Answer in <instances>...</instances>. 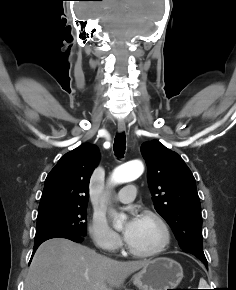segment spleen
Masks as SVG:
<instances>
[{
    "instance_id": "spleen-1",
    "label": "spleen",
    "mask_w": 236,
    "mask_h": 290,
    "mask_svg": "<svg viewBox=\"0 0 236 290\" xmlns=\"http://www.w3.org/2000/svg\"><path fill=\"white\" fill-rule=\"evenodd\" d=\"M206 285H207L206 281L204 279H200L199 287H205Z\"/></svg>"
}]
</instances>
